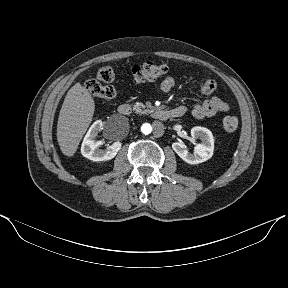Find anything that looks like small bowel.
Returning <instances> with one entry per match:
<instances>
[{"instance_id": "obj_1", "label": "small bowel", "mask_w": 288, "mask_h": 288, "mask_svg": "<svg viewBox=\"0 0 288 288\" xmlns=\"http://www.w3.org/2000/svg\"><path fill=\"white\" fill-rule=\"evenodd\" d=\"M175 85V79L171 76L165 77L162 81L156 84L158 90L162 93L170 92ZM200 91L206 96L201 102L194 104L191 107V115L194 118L202 119L205 117H212L221 112H227L229 105L227 102L217 96H213L216 89V83L207 78H203L198 83ZM174 109L182 110L183 114L186 113L187 108L183 105L177 106Z\"/></svg>"}]
</instances>
